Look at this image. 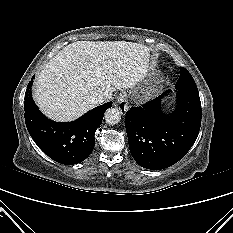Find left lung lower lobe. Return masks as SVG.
<instances>
[{"instance_id":"obj_1","label":"left lung lower lobe","mask_w":233,"mask_h":233,"mask_svg":"<svg viewBox=\"0 0 233 233\" xmlns=\"http://www.w3.org/2000/svg\"><path fill=\"white\" fill-rule=\"evenodd\" d=\"M162 96L138 107L125 116L129 148L134 160L151 170L164 169L181 160L197 139L201 102L197 87H182L176 93L172 113L162 112Z\"/></svg>"}]
</instances>
